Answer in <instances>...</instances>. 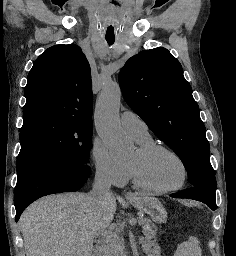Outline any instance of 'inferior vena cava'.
<instances>
[{
  "label": "inferior vena cava",
  "mask_w": 236,
  "mask_h": 256,
  "mask_svg": "<svg viewBox=\"0 0 236 256\" xmlns=\"http://www.w3.org/2000/svg\"><path fill=\"white\" fill-rule=\"evenodd\" d=\"M111 184L112 178L109 168H106V166H97L93 188L90 192L96 204H105L107 200L113 198L110 190Z\"/></svg>",
  "instance_id": "602c4592"
}]
</instances>
